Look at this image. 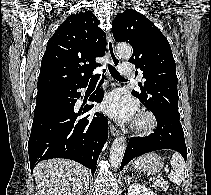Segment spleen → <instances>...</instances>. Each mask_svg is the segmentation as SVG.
Returning a JSON list of instances; mask_svg holds the SVG:
<instances>
[{"label":"spleen","instance_id":"obj_1","mask_svg":"<svg viewBox=\"0 0 211 195\" xmlns=\"http://www.w3.org/2000/svg\"><path fill=\"white\" fill-rule=\"evenodd\" d=\"M173 170L169 174V179L175 184H181L184 178L185 161L179 153H174L171 158Z\"/></svg>","mask_w":211,"mask_h":195}]
</instances>
